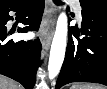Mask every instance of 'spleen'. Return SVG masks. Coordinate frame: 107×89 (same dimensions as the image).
Segmentation results:
<instances>
[{
    "label": "spleen",
    "instance_id": "obj_1",
    "mask_svg": "<svg viewBox=\"0 0 107 89\" xmlns=\"http://www.w3.org/2000/svg\"><path fill=\"white\" fill-rule=\"evenodd\" d=\"M70 89H104V87L99 85L73 84Z\"/></svg>",
    "mask_w": 107,
    "mask_h": 89
}]
</instances>
